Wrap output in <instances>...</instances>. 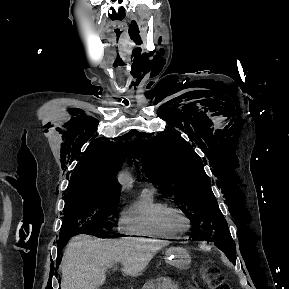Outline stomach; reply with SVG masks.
I'll return each instance as SVG.
<instances>
[{"instance_id":"0dacf381","label":"stomach","mask_w":289,"mask_h":289,"mask_svg":"<svg viewBox=\"0 0 289 289\" xmlns=\"http://www.w3.org/2000/svg\"><path fill=\"white\" fill-rule=\"evenodd\" d=\"M165 260L178 269L186 270L191 263V256L184 247H171L165 252Z\"/></svg>"}]
</instances>
